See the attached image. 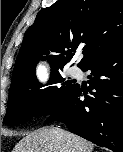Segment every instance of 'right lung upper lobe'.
<instances>
[{"label":"right lung upper lobe","mask_w":123,"mask_h":152,"mask_svg":"<svg viewBox=\"0 0 123 152\" xmlns=\"http://www.w3.org/2000/svg\"><path fill=\"white\" fill-rule=\"evenodd\" d=\"M123 39V0H58L42 9L26 31L12 74L10 93L36 79L35 67L47 59L63 69L77 48L85 67L99 52Z\"/></svg>","instance_id":"right-lung-upper-lobe-1"}]
</instances>
